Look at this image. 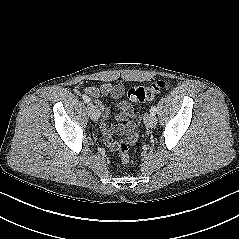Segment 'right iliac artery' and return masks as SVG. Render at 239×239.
<instances>
[{
	"mask_svg": "<svg viewBox=\"0 0 239 239\" xmlns=\"http://www.w3.org/2000/svg\"><path fill=\"white\" fill-rule=\"evenodd\" d=\"M82 99L84 100L85 103H87V104H89V105L91 104V103H90V98H89L87 95L83 94V95H82Z\"/></svg>",
	"mask_w": 239,
	"mask_h": 239,
	"instance_id": "82829eb1",
	"label": "right iliac artery"
}]
</instances>
